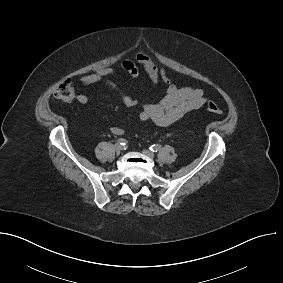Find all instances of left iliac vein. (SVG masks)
<instances>
[{"mask_svg":"<svg viewBox=\"0 0 283 283\" xmlns=\"http://www.w3.org/2000/svg\"><path fill=\"white\" fill-rule=\"evenodd\" d=\"M143 154L146 155L149 158H154V153L149 150H143Z\"/></svg>","mask_w":283,"mask_h":283,"instance_id":"left-iliac-vein-1","label":"left iliac vein"}]
</instances>
